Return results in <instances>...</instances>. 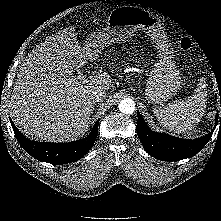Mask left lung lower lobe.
<instances>
[{"instance_id": "1", "label": "left lung lower lobe", "mask_w": 221, "mask_h": 221, "mask_svg": "<svg viewBox=\"0 0 221 221\" xmlns=\"http://www.w3.org/2000/svg\"><path fill=\"white\" fill-rule=\"evenodd\" d=\"M137 116L138 122L136 129L145 151L154 158L162 161H177L197 154L210 140L218 121L217 113L215 127L210 133L197 139L186 140L168 134L156 133L147 126L138 111Z\"/></svg>"}]
</instances>
